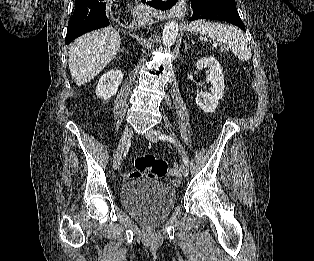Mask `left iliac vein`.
I'll return each mask as SVG.
<instances>
[{
    "instance_id": "1",
    "label": "left iliac vein",
    "mask_w": 314,
    "mask_h": 261,
    "mask_svg": "<svg viewBox=\"0 0 314 261\" xmlns=\"http://www.w3.org/2000/svg\"><path fill=\"white\" fill-rule=\"evenodd\" d=\"M146 138L152 142H157L158 141V132L155 131L154 129H150L146 132ZM180 170L183 176H188L189 170L187 165L181 164Z\"/></svg>"
}]
</instances>
